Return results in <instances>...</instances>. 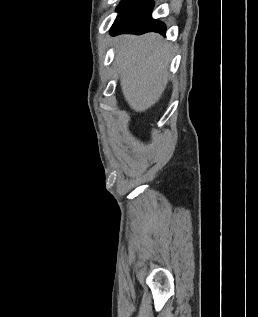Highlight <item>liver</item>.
Instances as JSON below:
<instances>
[{"mask_svg":"<svg viewBox=\"0 0 258 317\" xmlns=\"http://www.w3.org/2000/svg\"><path fill=\"white\" fill-rule=\"evenodd\" d=\"M116 66L122 92L136 112L159 100L168 82L171 44L157 32L117 36Z\"/></svg>","mask_w":258,"mask_h":317,"instance_id":"obj_1","label":"liver"}]
</instances>
